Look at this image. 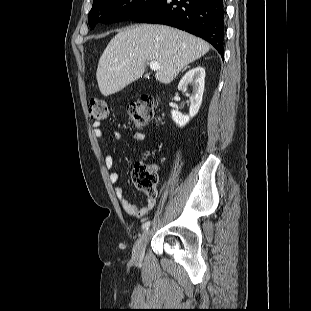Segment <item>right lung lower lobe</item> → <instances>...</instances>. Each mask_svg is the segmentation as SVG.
I'll return each mask as SVG.
<instances>
[{"instance_id": "1", "label": "right lung lower lobe", "mask_w": 311, "mask_h": 311, "mask_svg": "<svg viewBox=\"0 0 311 311\" xmlns=\"http://www.w3.org/2000/svg\"><path fill=\"white\" fill-rule=\"evenodd\" d=\"M224 17L223 0H157L130 19L185 30L211 43L223 57Z\"/></svg>"}]
</instances>
